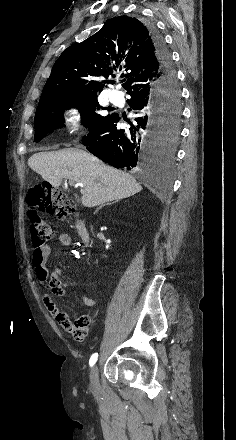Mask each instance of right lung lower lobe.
Wrapping results in <instances>:
<instances>
[{
  "label": "right lung lower lobe",
  "mask_w": 236,
  "mask_h": 440,
  "mask_svg": "<svg viewBox=\"0 0 236 440\" xmlns=\"http://www.w3.org/2000/svg\"><path fill=\"white\" fill-rule=\"evenodd\" d=\"M153 40L160 78L153 85L128 93L130 111L135 114L129 130L119 128L118 114L110 116L82 138L83 145L92 154L116 168L144 170L161 157L159 133L162 131L169 101L162 98L159 89L177 85L170 52L156 28L148 25Z\"/></svg>",
  "instance_id": "1"
}]
</instances>
